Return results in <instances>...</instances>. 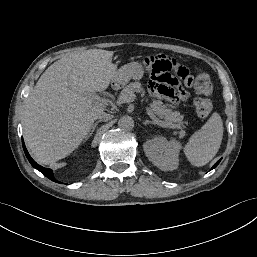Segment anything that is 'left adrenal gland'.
<instances>
[{
  "label": "left adrenal gland",
  "mask_w": 257,
  "mask_h": 257,
  "mask_svg": "<svg viewBox=\"0 0 257 257\" xmlns=\"http://www.w3.org/2000/svg\"><path fill=\"white\" fill-rule=\"evenodd\" d=\"M143 125H147V124H153L155 125L156 123L154 121H150V120H146L144 122H142Z\"/></svg>",
  "instance_id": "a2214340"
}]
</instances>
